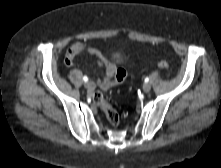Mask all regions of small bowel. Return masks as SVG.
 <instances>
[{
	"mask_svg": "<svg viewBox=\"0 0 221 168\" xmlns=\"http://www.w3.org/2000/svg\"><path fill=\"white\" fill-rule=\"evenodd\" d=\"M82 52H87L94 56L98 65L105 66L104 74L97 80V85L100 88L104 90L109 89L125 79L126 72L124 69L117 68L116 65L105 57L97 48L90 47L84 42H76L69 47L65 56L66 65L71 66L75 56Z\"/></svg>",
	"mask_w": 221,
	"mask_h": 168,
	"instance_id": "c3829d8e",
	"label": "small bowel"
}]
</instances>
